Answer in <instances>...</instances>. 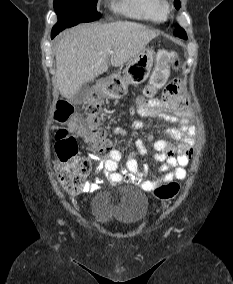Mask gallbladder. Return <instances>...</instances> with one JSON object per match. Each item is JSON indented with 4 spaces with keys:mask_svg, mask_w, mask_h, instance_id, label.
Returning a JSON list of instances; mask_svg holds the SVG:
<instances>
[{
    "mask_svg": "<svg viewBox=\"0 0 233 284\" xmlns=\"http://www.w3.org/2000/svg\"><path fill=\"white\" fill-rule=\"evenodd\" d=\"M90 91L91 87L89 83H84L71 99L72 103L75 105L85 103L90 95Z\"/></svg>",
    "mask_w": 233,
    "mask_h": 284,
    "instance_id": "1",
    "label": "gallbladder"
}]
</instances>
